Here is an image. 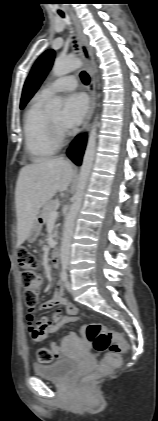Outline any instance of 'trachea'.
I'll return each instance as SVG.
<instances>
[{"label": "trachea", "mask_w": 158, "mask_h": 421, "mask_svg": "<svg viewBox=\"0 0 158 421\" xmlns=\"http://www.w3.org/2000/svg\"><path fill=\"white\" fill-rule=\"evenodd\" d=\"M62 17H64V14H60ZM75 47H76V45H75ZM80 77H81V80H82V82L85 84V85H88L89 84V82H90V78H89V75L85 72V71H82L81 72V74H80Z\"/></svg>", "instance_id": "1"}]
</instances>
